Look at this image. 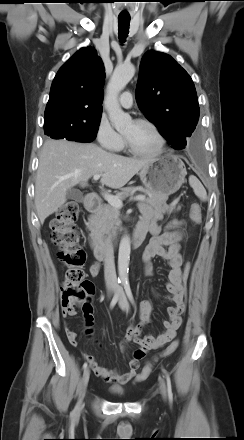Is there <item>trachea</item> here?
<instances>
[{"label":"trachea","instance_id":"1","mask_svg":"<svg viewBox=\"0 0 244 440\" xmlns=\"http://www.w3.org/2000/svg\"><path fill=\"white\" fill-rule=\"evenodd\" d=\"M129 18H118V31H119V39L121 42H125L129 33Z\"/></svg>","mask_w":244,"mask_h":440}]
</instances>
